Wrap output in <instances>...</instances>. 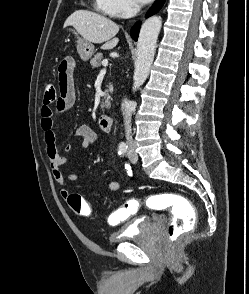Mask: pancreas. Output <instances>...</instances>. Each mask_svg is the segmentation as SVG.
I'll return each instance as SVG.
<instances>
[{
  "label": "pancreas",
  "instance_id": "pancreas-1",
  "mask_svg": "<svg viewBox=\"0 0 249 294\" xmlns=\"http://www.w3.org/2000/svg\"><path fill=\"white\" fill-rule=\"evenodd\" d=\"M103 61V56L101 53L96 54L91 60H90V64L92 66V68H99L102 64ZM109 92H113V86L110 85L108 87V89L105 90L104 92V99L105 101L101 102V108H107L110 106V96H109Z\"/></svg>",
  "mask_w": 249,
  "mask_h": 294
}]
</instances>
